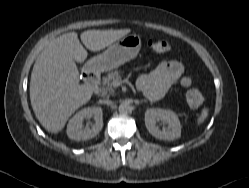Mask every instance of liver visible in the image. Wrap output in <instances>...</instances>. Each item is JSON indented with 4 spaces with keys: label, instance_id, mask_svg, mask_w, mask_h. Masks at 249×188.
<instances>
[{
    "label": "liver",
    "instance_id": "obj_1",
    "mask_svg": "<svg viewBox=\"0 0 249 188\" xmlns=\"http://www.w3.org/2000/svg\"><path fill=\"white\" fill-rule=\"evenodd\" d=\"M130 31L87 30L80 37L89 51L97 52ZM86 58L87 51L77 33L70 32L50 41L36 59L31 73L30 101L36 118L48 132H60L69 117L91 99L93 91L79 83L76 65Z\"/></svg>",
    "mask_w": 249,
    "mask_h": 188
}]
</instances>
